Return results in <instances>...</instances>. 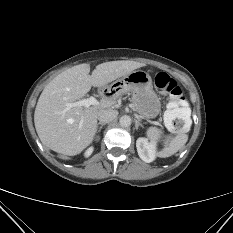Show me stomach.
I'll return each instance as SVG.
<instances>
[{"mask_svg": "<svg viewBox=\"0 0 233 233\" xmlns=\"http://www.w3.org/2000/svg\"><path fill=\"white\" fill-rule=\"evenodd\" d=\"M106 88L116 96L130 92L135 110L144 118L152 119L160 113V98L153 90L151 76L143 70L132 71Z\"/></svg>", "mask_w": 233, "mask_h": 233, "instance_id": "stomach-1", "label": "stomach"}]
</instances>
